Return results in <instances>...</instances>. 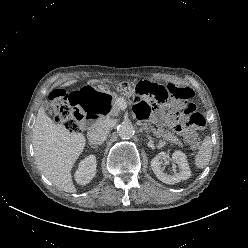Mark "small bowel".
Here are the masks:
<instances>
[{"instance_id": "obj_1", "label": "small bowel", "mask_w": 248, "mask_h": 248, "mask_svg": "<svg viewBox=\"0 0 248 248\" xmlns=\"http://www.w3.org/2000/svg\"><path fill=\"white\" fill-rule=\"evenodd\" d=\"M135 114L139 119L151 118L156 124L167 125L188 139L190 129L187 124L181 121V116L176 113L164 114L150 103L143 102L135 106Z\"/></svg>"}]
</instances>
